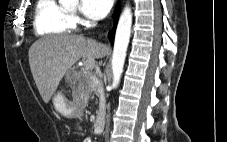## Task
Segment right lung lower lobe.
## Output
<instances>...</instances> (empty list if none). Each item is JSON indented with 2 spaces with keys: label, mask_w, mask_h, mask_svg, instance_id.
Returning <instances> with one entry per match:
<instances>
[{
  "label": "right lung lower lobe",
  "mask_w": 227,
  "mask_h": 142,
  "mask_svg": "<svg viewBox=\"0 0 227 142\" xmlns=\"http://www.w3.org/2000/svg\"><path fill=\"white\" fill-rule=\"evenodd\" d=\"M118 15H119V8H117L115 10V23H114V27L113 29L109 32L108 36L111 39V43L113 44V40H114V34H115V29H116V25H117V20H118Z\"/></svg>",
  "instance_id": "right-lung-lower-lobe-1"
}]
</instances>
